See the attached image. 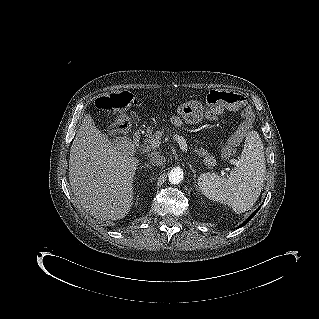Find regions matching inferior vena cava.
Segmentation results:
<instances>
[{
  "label": "inferior vena cava",
  "mask_w": 319,
  "mask_h": 319,
  "mask_svg": "<svg viewBox=\"0 0 319 319\" xmlns=\"http://www.w3.org/2000/svg\"><path fill=\"white\" fill-rule=\"evenodd\" d=\"M149 162L153 166H163L166 162V159L163 155L159 154L158 152H153L150 155Z\"/></svg>",
  "instance_id": "1"
}]
</instances>
